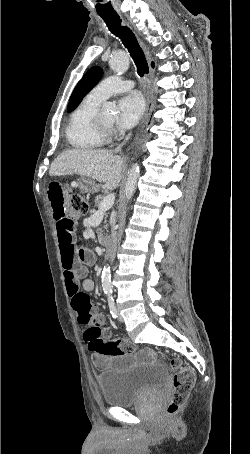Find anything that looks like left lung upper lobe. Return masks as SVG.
<instances>
[{"instance_id":"obj_1","label":"left lung upper lobe","mask_w":250,"mask_h":454,"mask_svg":"<svg viewBox=\"0 0 250 454\" xmlns=\"http://www.w3.org/2000/svg\"><path fill=\"white\" fill-rule=\"evenodd\" d=\"M101 77L102 69L100 67H92L86 72L70 97L67 112L73 111L80 104L83 97L99 82Z\"/></svg>"}]
</instances>
